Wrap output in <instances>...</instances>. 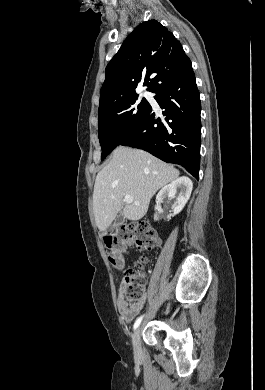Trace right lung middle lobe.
I'll list each match as a JSON object with an SVG mask.
<instances>
[{
  "instance_id": "right-lung-middle-lobe-1",
  "label": "right lung middle lobe",
  "mask_w": 265,
  "mask_h": 390,
  "mask_svg": "<svg viewBox=\"0 0 265 390\" xmlns=\"http://www.w3.org/2000/svg\"><path fill=\"white\" fill-rule=\"evenodd\" d=\"M149 109L150 104L145 98L140 99L138 95H134L98 112L101 160L119 146Z\"/></svg>"
}]
</instances>
